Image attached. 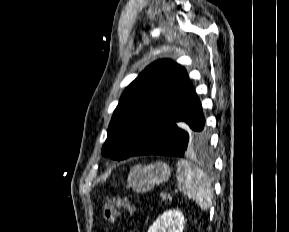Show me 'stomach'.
<instances>
[{"label":"stomach","mask_w":289,"mask_h":232,"mask_svg":"<svg viewBox=\"0 0 289 232\" xmlns=\"http://www.w3.org/2000/svg\"><path fill=\"white\" fill-rule=\"evenodd\" d=\"M171 169L163 162L150 165H136L128 175V185L138 193L149 191L155 185L166 182L170 177Z\"/></svg>","instance_id":"0dacf381"}]
</instances>
